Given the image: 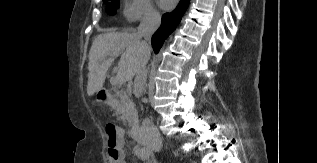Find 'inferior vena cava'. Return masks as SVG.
<instances>
[{
    "label": "inferior vena cava",
    "instance_id": "obj_1",
    "mask_svg": "<svg viewBox=\"0 0 317 163\" xmlns=\"http://www.w3.org/2000/svg\"><path fill=\"white\" fill-rule=\"evenodd\" d=\"M161 16L155 10H148L138 27V35L144 37L142 44L147 51H150L149 42L153 33L159 28ZM148 57L143 59L141 68L135 79V88L138 95L143 91L147 79V69L145 68ZM141 133L146 145L153 151L159 152L162 148V139L158 129L154 126L152 120L145 118L142 121Z\"/></svg>",
    "mask_w": 317,
    "mask_h": 163
}]
</instances>
